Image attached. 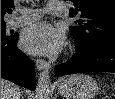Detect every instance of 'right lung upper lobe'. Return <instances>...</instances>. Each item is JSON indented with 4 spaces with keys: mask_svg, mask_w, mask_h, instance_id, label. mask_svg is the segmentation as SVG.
<instances>
[{
    "mask_svg": "<svg viewBox=\"0 0 115 99\" xmlns=\"http://www.w3.org/2000/svg\"><path fill=\"white\" fill-rule=\"evenodd\" d=\"M12 7H14L13 0H1V23L4 22V14L9 12Z\"/></svg>",
    "mask_w": 115,
    "mask_h": 99,
    "instance_id": "cb5924a9",
    "label": "right lung upper lobe"
}]
</instances>
